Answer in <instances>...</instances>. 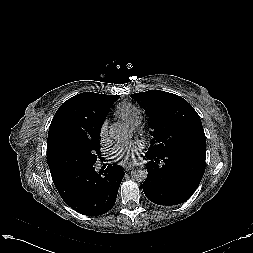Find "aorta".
Wrapping results in <instances>:
<instances>
[{
    "label": "aorta",
    "instance_id": "1",
    "mask_svg": "<svg viewBox=\"0 0 253 253\" xmlns=\"http://www.w3.org/2000/svg\"><path fill=\"white\" fill-rule=\"evenodd\" d=\"M109 134L116 141H125L132 136L130 127L127 124L120 122L111 125ZM147 174L148 172L145 168L135 169L131 172L132 178L138 182L144 181Z\"/></svg>",
    "mask_w": 253,
    "mask_h": 253
}]
</instances>
